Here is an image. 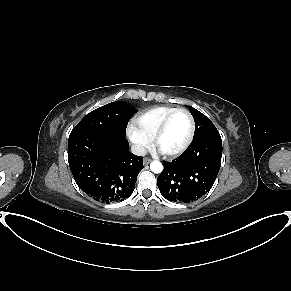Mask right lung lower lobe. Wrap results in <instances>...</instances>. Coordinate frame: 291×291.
<instances>
[{
	"label": "right lung lower lobe",
	"mask_w": 291,
	"mask_h": 291,
	"mask_svg": "<svg viewBox=\"0 0 291 291\" xmlns=\"http://www.w3.org/2000/svg\"><path fill=\"white\" fill-rule=\"evenodd\" d=\"M125 136L85 133L68 139V161L77 185L102 203L122 201L134 190L143 157L128 150Z\"/></svg>",
	"instance_id": "1"
}]
</instances>
